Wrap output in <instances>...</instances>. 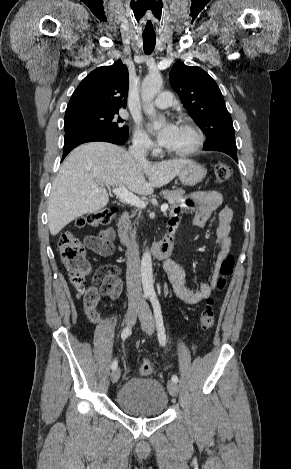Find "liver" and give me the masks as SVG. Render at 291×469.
Wrapping results in <instances>:
<instances>
[{"label":"liver","mask_w":291,"mask_h":469,"mask_svg":"<svg viewBox=\"0 0 291 469\" xmlns=\"http://www.w3.org/2000/svg\"><path fill=\"white\" fill-rule=\"evenodd\" d=\"M190 162H143L124 148L105 142L79 146L67 156L52 186L48 204L51 235H57L74 219L104 208L109 201L104 186H125L131 193L151 195L154 188L168 184Z\"/></svg>","instance_id":"obj_1"}]
</instances>
